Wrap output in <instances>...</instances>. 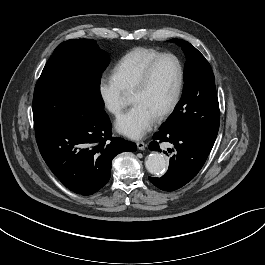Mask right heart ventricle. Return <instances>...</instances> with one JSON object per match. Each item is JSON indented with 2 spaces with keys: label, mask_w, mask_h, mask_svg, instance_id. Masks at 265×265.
Returning <instances> with one entry per match:
<instances>
[{
  "label": "right heart ventricle",
  "mask_w": 265,
  "mask_h": 265,
  "mask_svg": "<svg viewBox=\"0 0 265 265\" xmlns=\"http://www.w3.org/2000/svg\"><path fill=\"white\" fill-rule=\"evenodd\" d=\"M160 52L147 47H137L125 53L112 70L113 77L125 93H131L147 64Z\"/></svg>",
  "instance_id": "e07e8e85"
}]
</instances>
